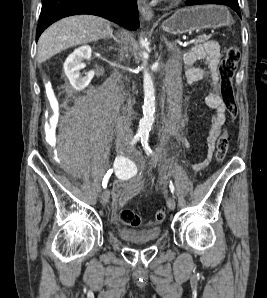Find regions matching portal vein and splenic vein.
<instances>
[{
  "label": "portal vein and splenic vein",
  "instance_id": "portal-vein-and-splenic-vein-1",
  "mask_svg": "<svg viewBox=\"0 0 267 298\" xmlns=\"http://www.w3.org/2000/svg\"><path fill=\"white\" fill-rule=\"evenodd\" d=\"M195 41H196L195 39L190 40V41L188 42V44L194 43Z\"/></svg>",
  "mask_w": 267,
  "mask_h": 298
}]
</instances>
